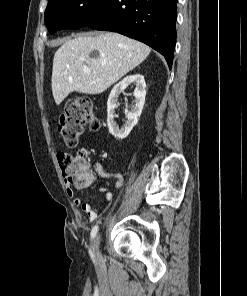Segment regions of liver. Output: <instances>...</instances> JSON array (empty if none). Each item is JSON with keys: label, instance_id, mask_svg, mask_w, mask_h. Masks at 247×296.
Returning a JSON list of instances; mask_svg holds the SVG:
<instances>
[{"label": "liver", "instance_id": "6515ba94", "mask_svg": "<svg viewBox=\"0 0 247 296\" xmlns=\"http://www.w3.org/2000/svg\"><path fill=\"white\" fill-rule=\"evenodd\" d=\"M98 57H91L92 51ZM149 46L119 33L85 34L69 39L56 51L52 93L57 105L71 93L100 94L149 55ZM90 69V73L84 69Z\"/></svg>", "mask_w": 247, "mask_h": 296}]
</instances>
